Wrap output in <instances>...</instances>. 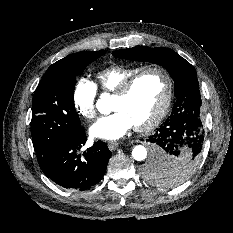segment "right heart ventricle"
I'll return each instance as SVG.
<instances>
[{
    "label": "right heart ventricle",
    "instance_id": "obj_1",
    "mask_svg": "<svg viewBox=\"0 0 233 233\" xmlns=\"http://www.w3.org/2000/svg\"><path fill=\"white\" fill-rule=\"evenodd\" d=\"M142 67L112 65L95 74L96 86L104 93H114L128 77Z\"/></svg>",
    "mask_w": 233,
    "mask_h": 233
}]
</instances>
